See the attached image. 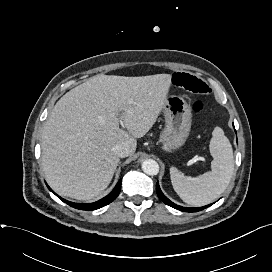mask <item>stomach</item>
Segmentation results:
<instances>
[{
	"instance_id": "stomach-1",
	"label": "stomach",
	"mask_w": 272,
	"mask_h": 272,
	"mask_svg": "<svg viewBox=\"0 0 272 272\" xmlns=\"http://www.w3.org/2000/svg\"><path fill=\"white\" fill-rule=\"evenodd\" d=\"M165 128L160 141L171 150H176L186 142L190 129L192 114L187 102L180 96H170L163 107Z\"/></svg>"
}]
</instances>
